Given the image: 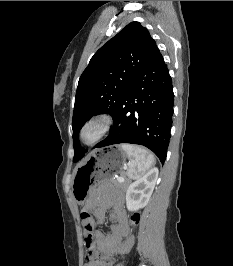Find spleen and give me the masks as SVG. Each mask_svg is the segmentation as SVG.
Wrapping results in <instances>:
<instances>
[{
    "label": "spleen",
    "mask_w": 233,
    "mask_h": 266,
    "mask_svg": "<svg viewBox=\"0 0 233 266\" xmlns=\"http://www.w3.org/2000/svg\"><path fill=\"white\" fill-rule=\"evenodd\" d=\"M121 148L127 153L129 158L127 170L129 179L140 178L155 165L153 154L145 148L131 144H121Z\"/></svg>",
    "instance_id": "1"
}]
</instances>
